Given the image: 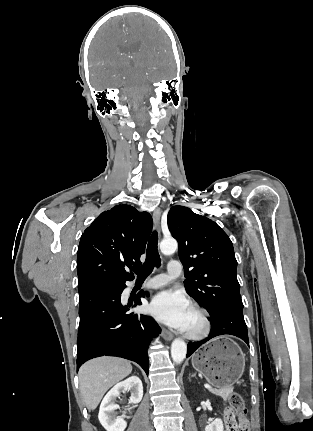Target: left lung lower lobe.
Returning <instances> with one entry per match:
<instances>
[{"instance_id": "obj_1", "label": "left lung lower lobe", "mask_w": 313, "mask_h": 431, "mask_svg": "<svg viewBox=\"0 0 313 431\" xmlns=\"http://www.w3.org/2000/svg\"><path fill=\"white\" fill-rule=\"evenodd\" d=\"M212 329L209 336L198 342L188 344L187 357L194 353L201 345L208 340L224 334L235 335L244 340L249 346L247 326L244 321L243 312L240 310H227L218 313L215 317L210 318Z\"/></svg>"}]
</instances>
